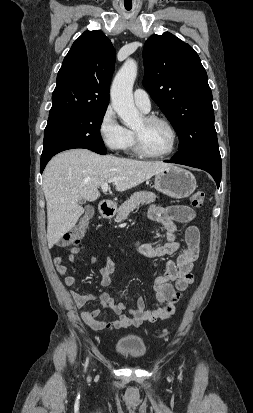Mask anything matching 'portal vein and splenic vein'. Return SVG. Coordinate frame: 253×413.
I'll return each instance as SVG.
<instances>
[{"mask_svg": "<svg viewBox=\"0 0 253 413\" xmlns=\"http://www.w3.org/2000/svg\"><path fill=\"white\" fill-rule=\"evenodd\" d=\"M110 182H116V179H111V180H109L108 182L103 183V184L101 185L102 192H107V190H108V183H110Z\"/></svg>", "mask_w": 253, "mask_h": 413, "instance_id": "1", "label": "portal vein and splenic vein"}]
</instances>
